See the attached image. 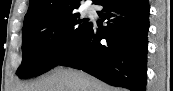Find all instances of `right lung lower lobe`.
I'll return each instance as SVG.
<instances>
[{
	"instance_id": "98d812e1",
	"label": "right lung lower lobe",
	"mask_w": 173,
	"mask_h": 91,
	"mask_svg": "<svg viewBox=\"0 0 173 91\" xmlns=\"http://www.w3.org/2000/svg\"><path fill=\"white\" fill-rule=\"evenodd\" d=\"M107 26L91 24L83 40L58 65L83 70L131 91H145L149 30L148 0H98Z\"/></svg>"
}]
</instances>
